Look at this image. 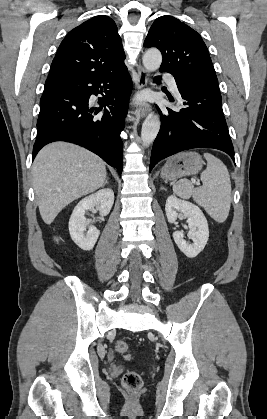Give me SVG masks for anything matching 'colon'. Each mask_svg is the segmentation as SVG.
<instances>
[{
  "mask_svg": "<svg viewBox=\"0 0 267 419\" xmlns=\"http://www.w3.org/2000/svg\"><path fill=\"white\" fill-rule=\"evenodd\" d=\"M116 351L129 359V345L124 341H118L115 345ZM123 385L131 391H136L142 386V378L136 371H128L123 376Z\"/></svg>",
  "mask_w": 267,
  "mask_h": 419,
  "instance_id": "obj_1",
  "label": "colon"
}]
</instances>
